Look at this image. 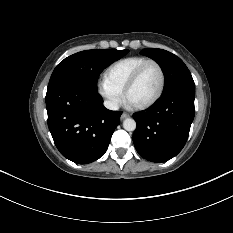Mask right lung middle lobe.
<instances>
[{
    "label": "right lung middle lobe",
    "instance_id": "obj_1",
    "mask_svg": "<svg viewBox=\"0 0 233 233\" xmlns=\"http://www.w3.org/2000/svg\"><path fill=\"white\" fill-rule=\"evenodd\" d=\"M128 52L127 49H95L75 53L56 66L48 86L72 83L98 91L97 80L102 70Z\"/></svg>",
    "mask_w": 233,
    "mask_h": 233
}]
</instances>
